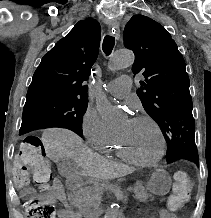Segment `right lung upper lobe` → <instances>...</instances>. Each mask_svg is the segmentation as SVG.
<instances>
[{
	"label": "right lung upper lobe",
	"mask_w": 211,
	"mask_h": 218,
	"mask_svg": "<svg viewBox=\"0 0 211 218\" xmlns=\"http://www.w3.org/2000/svg\"><path fill=\"white\" fill-rule=\"evenodd\" d=\"M100 25L94 19L79 21L68 35L44 55L29 86L26 102L47 98L88 101L91 67L100 45Z\"/></svg>",
	"instance_id": "cb5924a9"
}]
</instances>
